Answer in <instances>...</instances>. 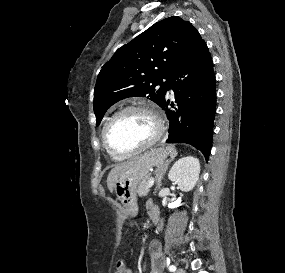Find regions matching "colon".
<instances>
[{
  "mask_svg": "<svg viewBox=\"0 0 285 273\" xmlns=\"http://www.w3.org/2000/svg\"><path fill=\"white\" fill-rule=\"evenodd\" d=\"M128 267L123 262H118L115 273H127Z\"/></svg>",
  "mask_w": 285,
  "mask_h": 273,
  "instance_id": "1",
  "label": "colon"
}]
</instances>
